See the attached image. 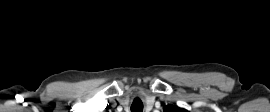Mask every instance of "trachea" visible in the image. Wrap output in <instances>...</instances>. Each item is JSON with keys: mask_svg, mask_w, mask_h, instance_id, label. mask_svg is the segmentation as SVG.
I'll return each instance as SVG.
<instances>
[{"mask_svg": "<svg viewBox=\"0 0 270 112\" xmlns=\"http://www.w3.org/2000/svg\"><path fill=\"white\" fill-rule=\"evenodd\" d=\"M131 112H143V104L139 98H135L131 105Z\"/></svg>", "mask_w": 270, "mask_h": 112, "instance_id": "obj_1", "label": "trachea"}]
</instances>
